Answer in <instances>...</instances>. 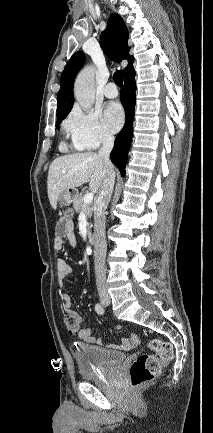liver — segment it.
Segmentation results:
<instances>
[{
    "label": "liver",
    "mask_w": 213,
    "mask_h": 433,
    "mask_svg": "<svg viewBox=\"0 0 213 433\" xmlns=\"http://www.w3.org/2000/svg\"><path fill=\"white\" fill-rule=\"evenodd\" d=\"M105 174L104 160L94 152L56 158L49 167L47 178V192L52 208L57 207L58 198L63 191L75 189L88 180L90 190L93 193L99 192Z\"/></svg>",
    "instance_id": "liver-1"
}]
</instances>
